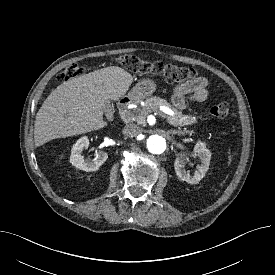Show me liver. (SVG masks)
I'll return each mask as SVG.
<instances>
[{
  "label": "liver",
  "mask_w": 275,
  "mask_h": 275,
  "mask_svg": "<svg viewBox=\"0 0 275 275\" xmlns=\"http://www.w3.org/2000/svg\"><path fill=\"white\" fill-rule=\"evenodd\" d=\"M132 82L130 73L110 66L62 83L36 114L35 146L104 128L105 105L122 98Z\"/></svg>",
  "instance_id": "liver-1"
}]
</instances>
